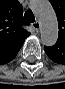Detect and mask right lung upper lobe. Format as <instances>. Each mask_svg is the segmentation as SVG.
<instances>
[{"instance_id":"1","label":"right lung upper lobe","mask_w":65,"mask_h":89,"mask_svg":"<svg viewBox=\"0 0 65 89\" xmlns=\"http://www.w3.org/2000/svg\"><path fill=\"white\" fill-rule=\"evenodd\" d=\"M22 5L17 0H0V56L7 57L20 50L30 33L23 28Z\"/></svg>"}]
</instances>
